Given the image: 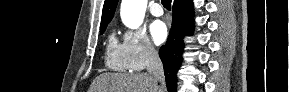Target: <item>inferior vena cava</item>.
<instances>
[{
	"instance_id": "obj_1",
	"label": "inferior vena cava",
	"mask_w": 289,
	"mask_h": 92,
	"mask_svg": "<svg viewBox=\"0 0 289 92\" xmlns=\"http://www.w3.org/2000/svg\"><path fill=\"white\" fill-rule=\"evenodd\" d=\"M147 51V71L155 83L160 82V89H165V77L163 65L158 55V52L152 44H148ZM161 91V90H160Z\"/></svg>"
}]
</instances>
